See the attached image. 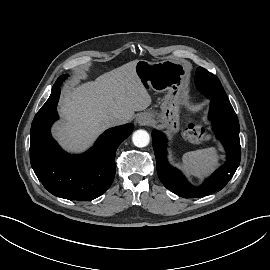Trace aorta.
<instances>
[{"label": "aorta", "mask_w": 270, "mask_h": 270, "mask_svg": "<svg viewBox=\"0 0 270 270\" xmlns=\"http://www.w3.org/2000/svg\"><path fill=\"white\" fill-rule=\"evenodd\" d=\"M132 141L137 147H146L150 142V136L145 130H137L132 135Z\"/></svg>", "instance_id": "1"}]
</instances>
